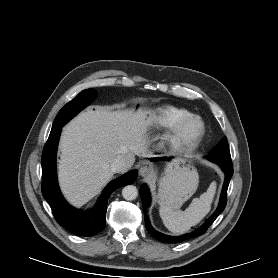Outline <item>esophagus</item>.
<instances>
[{
    "mask_svg": "<svg viewBox=\"0 0 278 278\" xmlns=\"http://www.w3.org/2000/svg\"><path fill=\"white\" fill-rule=\"evenodd\" d=\"M152 173H153L152 169L147 165H143L139 169L140 176H142L144 178L151 177Z\"/></svg>",
    "mask_w": 278,
    "mask_h": 278,
    "instance_id": "obj_1",
    "label": "esophagus"
}]
</instances>
